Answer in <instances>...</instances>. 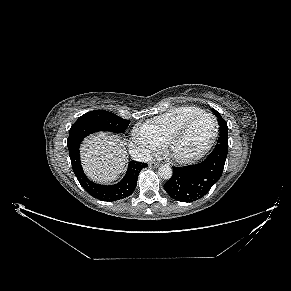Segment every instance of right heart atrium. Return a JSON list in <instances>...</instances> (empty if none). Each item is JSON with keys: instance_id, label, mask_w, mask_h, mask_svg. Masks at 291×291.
Returning <instances> with one entry per match:
<instances>
[{"instance_id": "right-heart-atrium-1", "label": "right heart atrium", "mask_w": 291, "mask_h": 291, "mask_svg": "<svg viewBox=\"0 0 291 291\" xmlns=\"http://www.w3.org/2000/svg\"><path fill=\"white\" fill-rule=\"evenodd\" d=\"M133 140L144 152L148 153L157 148L155 143L147 138L140 130H136L133 133Z\"/></svg>"}]
</instances>
